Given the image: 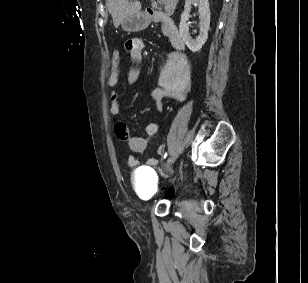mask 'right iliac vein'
<instances>
[{
  "instance_id": "obj_1",
  "label": "right iliac vein",
  "mask_w": 308,
  "mask_h": 283,
  "mask_svg": "<svg viewBox=\"0 0 308 283\" xmlns=\"http://www.w3.org/2000/svg\"><path fill=\"white\" fill-rule=\"evenodd\" d=\"M174 159H175L174 154H171L170 158L167 160L166 166L169 167L174 161Z\"/></svg>"
}]
</instances>
